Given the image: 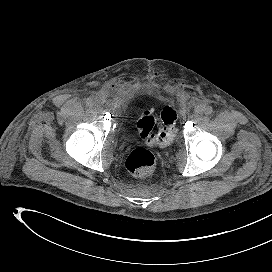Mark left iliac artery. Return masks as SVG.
<instances>
[{
  "label": "left iliac artery",
  "mask_w": 272,
  "mask_h": 272,
  "mask_svg": "<svg viewBox=\"0 0 272 272\" xmlns=\"http://www.w3.org/2000/svg\"><path fill=\"white\" fill-rule=\"evenodd\" d=\"M204 112L207 116H209L213 113V108L211 106H207Z\"/></svg>",
  "instance_id": "obj_1"
}]
</instances>
